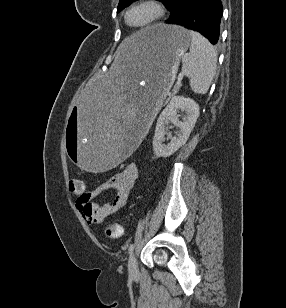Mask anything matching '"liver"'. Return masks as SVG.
<instances>
[{"instance_id": "6515ba94", "label": "liver", "mask_w": 286, "mask_h": 308, "mask_svg": "<svg viewBox=\"0 0 286 308\" xmlns=\"http://www.w3.org/2000/svg\"><path fill=\"white\" fill-rule=\"evenodd\" d=\"M140 43V37L136 34L126 38L116 51V58L113 66L116 67L122 61H131L136 56Z\"/></svg>"}]
</instances>
